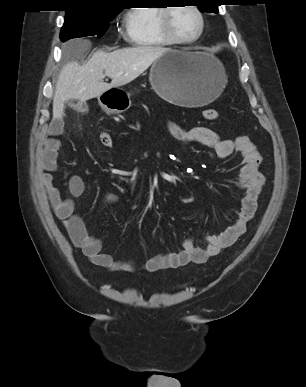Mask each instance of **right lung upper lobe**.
Wrapping results in <instances>:
<instances>
[{
  "mask_svg": "<svg viewBox=\"0 0 306 387\" xmlns=\"http://www.w3.org/2000/svg\"><path fill=\"white\" fill-rule=\"evenodd\" d=\"M66 15H95L121 11L119 0H69Z\"/></svg>",
  "mask_w": 306,
  "mask_h": 387,
  "instance_id": "obj_1",
  "label": "right lung upper lobe"
}]
</instances>
